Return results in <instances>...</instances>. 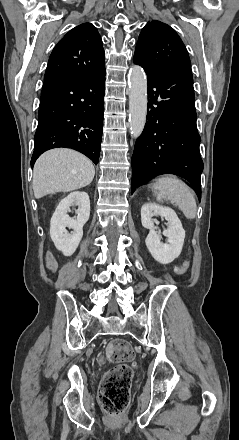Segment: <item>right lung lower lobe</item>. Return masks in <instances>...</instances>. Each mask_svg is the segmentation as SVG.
Segmentation results:
<instances>
[{
    "mask_svg": "<svg viewBox=\"0 0 239 440\" xmlns=\"http://www.w3.org/2000/svg\"><path fill=\"white\" fill-rule=\"evenodd\" d=\"M105 69L78 78L45 80L31 159L52 148H71L98 163L103 126Z\"/></svg>",
    "mask_w": 239,
    "mask_h": 440,
    "instance_id": "1",
    "label": "right lung lower lobe"
}]
</instances>
